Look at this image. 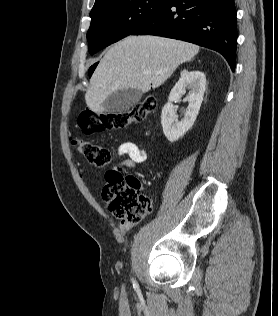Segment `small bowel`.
Wrapping results in <instances>:
<instances>
[{
	"label": "small bowel",
	"mask_w": 278,
	"mask_h": 316,
	"mask_svg": "<svg viewBox=\"0 0 278 316\" xmlns=\"http://www.w3.org/2000/svg\"><path fill=\"white\" fill-rule=\"evenodd\" d=\"M127 156L113 169L120 167L135 168L136 166L143 164L147 160V152L145 148L134 142H123L116 150V157ZM120 229L122 232L127 233L131 229V224L124 220L120 223Z\"/></svg>",
	"instance_id": "1"
}]
</instances>
